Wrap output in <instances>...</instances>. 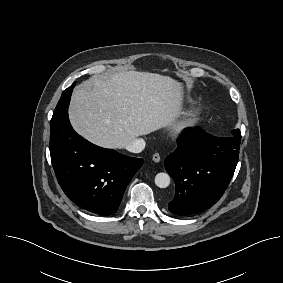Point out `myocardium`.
I'll list each match as a JSON object with an SVG mask.
<instances>
[{"label": "myocardium", "mask_w": 283, "mask_h": 283, "mask_svg": "<svg viewBox=\"0 0 283 283\" xmlns=\"http://www.w3.org/2000/svg\"><path fill=\"white\" fill-rule=\"evenodd\" d=\"M202 107L197 106L192 108L185 118L177 125L176 132L178 135H186L191 132L198 124Z\"/></svg>", "instance_id": "1"}]
</instances>
